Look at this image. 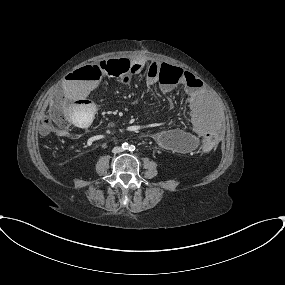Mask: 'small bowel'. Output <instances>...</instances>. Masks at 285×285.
<instances>
[{"instance_id": "c3829d8e", "label": "small bowel", "mask_w": 285, "mask_h": 285, "mask_svg": "<svg viewBox=\"0 0 285 285\" xmlns=\"http://www.w3.org/2000/svg\"><path fill=\"white\" fill-rule=\"evenodd\" d=\"M146 61L137 60L133 65L140 71ZM151 75L147 78L148 84H155L157 77L154 72L160 68V62L152 60L147 63ZM95 80L80 81L75 75L69 74L66 82L62 85L63 99L69 104L70 110H76L80 117L87 119L90 115L91 104L89 97L97 87ZM185 94L187 97L188 111L190 115L191 131L180 128H171L156 131L153 133V140L162 148L186 153L200 147L202 139L206 135H218L219 124L206 114V104L203 97V90L197 85V79L191 72L183 73ZM165 93L175 90L173 85H161ZM73 122L78 124V120L73 117ZM62 137H67L68 133H63Z\"/></svg>"}]
</instances>
